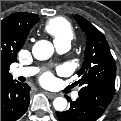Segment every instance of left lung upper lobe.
I'll return each instance as SVG.
<instances>
[{
	"instance_id": "left-lung-upper-lobe-1",
	"label": "left lung upper lobe",
	"mask_w": 121,
	"mask_h": 121,
	"mask_svg": "<svg viewBox=\"0 0 121 121\" xmlns=\"http://www.w3.org/2000/svg\"><path fill=\"white\" fill-rule=\"evenodd\" d=\"M87 36L84 62L78 71L79 97L106 108L115 93L116 64L104 35L85 18L75 15Z\"/></svg>"
}]
</instances>
